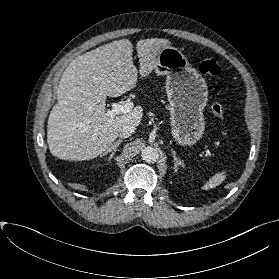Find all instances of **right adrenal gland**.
Returning a JSON list of instances; mask_svg holds the SVG:
<instances>
[{
    "mask_svg": "<svg viewBox=\"0 0 279 279\" xmlns=\"http://www.w3.org/2000/svg\"><path fill=\"white\" fill-rule=\"evenodd\" d=\"M122 142L121 139L117 140L113 145H111V147L104 153V155L110 153V156L108 158V161H110L113 156L115 155L120 143Z\"/></svg>",
    "mask_w": 279,
    "mask_h": 279,
    "instance_id": "right-adrenal-gland-1",
    "label": "right adrenal gland"
}]
</instances>
